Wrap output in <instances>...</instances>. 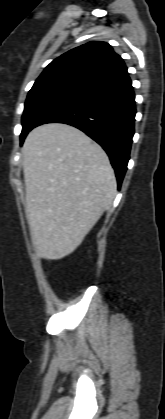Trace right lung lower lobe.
<instances>
[{"label":"right lung lower lobe","mask_w":165,"mask_h":419,"mask_svg":"<svg viewBox=\"0 0 165 419\" xmlns=\"http://www.w3.org/2000/svg\"><path fill=\"white\" fill-rule=\"evenodd\" d=\"M135 114V95L126 76L58 107L42 117L36 126L65 123L85 132L107 152L120 187L127 170Z\"/></svg>","instance_id":"98d812e1"}]
</instances>
